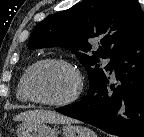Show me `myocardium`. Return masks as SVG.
Masks as SVG:
<instances>
[{
    "label": "myocardium",
    "mask_w": 144,
    "mask_h": 137,
    "mask_svg": "<svg viewBox=\"0 0 144 137\" xmlns=\"http://www.w3.org/2000/svg\"><path fill=\"white\" fill-rule=\"evenodd\" d=\"M46 64H55V65L63 66L65 68H67L68 70H70L74 74V76L76 78V88L71 96H69L68 98H66L64 100H60V101H49V100H44V99L38 98L33 94L32 90H31L32 74L37 68H39L42 65H46ZM83 88H84V81H83L82 74H81L80 70L78 69V67L67 60L59 59V58H46V59H42V60L35 62L33 65H31L27 69L26 75H25V80H24V91H25L27 97L29 98V100L32 102H35L37 104L50 106V107H64V106L73 104L75 101L78 100V98L82 94Z\"/></svg>",
    "instance_id": "1"
}]
</instances>
